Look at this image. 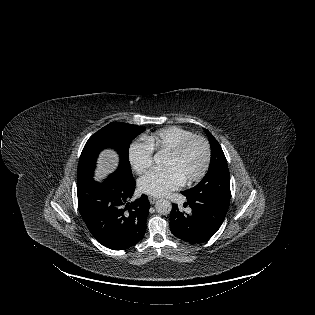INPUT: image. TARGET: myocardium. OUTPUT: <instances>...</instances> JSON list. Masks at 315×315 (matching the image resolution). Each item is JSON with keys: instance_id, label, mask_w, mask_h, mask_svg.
<instances>
[{"instance_id": "1", "label": "myocardium", "mask_w": 315, "mask_h": 315, "mask_svg": "<svg viewBox=\"0 0 315 315\" xmlns=\"http://www.w3.org/2000/svg\"><path fill=\"white\" fill-rule=\"evenodd\" d=\"M195 142H201L204 146V151H205L204 162H203V165H202L200 171L196 175L187 179L188 183L198 182L206 175V173L209 169L210 163H211V145H210V142L204 136L193 135V136L183 140L178 145H176L174 148L169 150V155L178 157V156H181L187 150V148Z\"/></svg>"}]
</instances>
